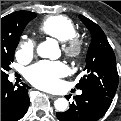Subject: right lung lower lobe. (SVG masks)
Masks as SVG:
<instances>
[{
  "mask_svg": "<svg viewBox=\"0 0 121 121\" xmlns=\"http://www.w3.org/2000/svg\"><path fill=\"white\" fill-rule=\"evenodd\" d=\"M29 88L25 84L15 88L8 78L1 79V121H17L25 115L30 104Z\"/></svg>",
  "mask_w": 121,
  "mask_h": 121,
  "instance_id": "right-lung-lower-lobe-1",
  "label": "right lung lower lobe"
}]
</instances>
